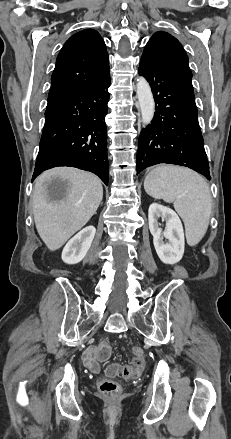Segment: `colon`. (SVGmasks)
<instances>
[{
    "label": "colon",
    "instance_id": "1",
    "mask_svg": "<svg viewBox=\"0 0 231 439\" xmlns=\"http://www.w3.org/2000/svg\"><path fill=\"white\" fill-rule=\"evenodd\" d=\"M133 356L132 362L129 365L120 367L116 363H108L105 367V376L97 379L96 384L99 391L108 396L117 395L121 387L114 380V378L122 374L126 379H135L142 372L145 366L144 352L139 347L131 349ZM111 355V344L108 341H103L99 344L97 349V357L101 361H106Z\"/></svg>",
    "mask_w": 231,
    "mask_h": 439
}]
</instances>
